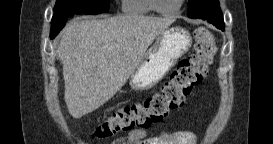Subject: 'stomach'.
Listing matches in <instances>:
<instances>
[{"label": "stomach", "instance_id": "obj_1", "mask_svg": "<svg viewBox=\"0 0 273 144\" xmlns=\"http://www.w3.org/2000/svg\"><path fill=\"white\" fill-rule=\"evenodd\" d=\"M191 45L192 37L186 29L179 26L165 29L157 36L154 45L144 54L131 74V88H152L169 72L176 61L189 51Z\"/></svg>", "mask_w": 273, "mask_h": 144}]
</instances>
